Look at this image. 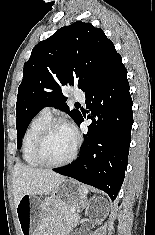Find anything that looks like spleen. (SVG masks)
Instances as JSON below:
<instances>
[{"label":"spleen","instance_id":"3e777b00","mask_svg":"<svg viewBox=\"0 0 155 235\" xmlns=\"http://www.w3.org/2000/svg\"><path fill=\"white\" fill-rule=\"evenodd\" d=\"M81 187H82L84 193L87 194L88 193V189L85 186H81Z\"/></svg>","mask_w":155,"mask_h":235}]
</instances>
